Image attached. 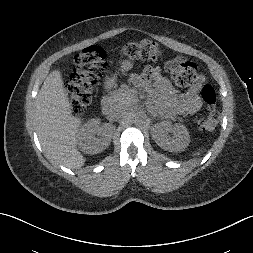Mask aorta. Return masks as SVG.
Returning <instances> with one entry per match:
<instances>
[{
	"mask_svg": "<svg viewBox=\"0 0 253 253\" xmlns=\"http://www.w3.org/2000/svg\"><path fill=\"white\" fill-rule=\"evenodd\" d=\"M133 121L135 123H144L146 120V115L143 112L137 111L132 114Z\"/></svg>",
	"mask_w": 253,
	"mask_h": 253,
	"instance_id": "762f6f07",
	"label": "aorta"
}]
</instances>
